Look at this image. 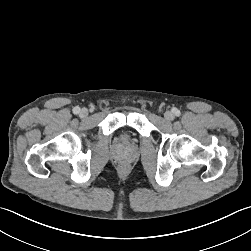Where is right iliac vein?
<instances>
[{"mask_svg":"<svg viewBox=\"0 0 251 251\" xmlns=\"http://www.w3.org/2000/svg\"><path fill=\"white\" fill-rule=\"evenodd\" d=\"M79 114L81 117H86L88 115V110L86 108H82Z\"/></svg>","mask_w":251,"mask_h":251,"instance_id":"1","label":"right iliac vein"}]
</instances>
